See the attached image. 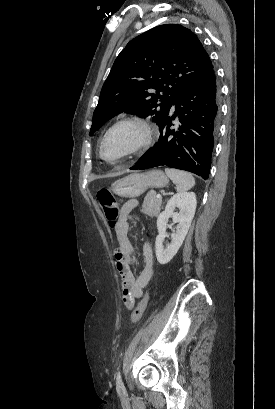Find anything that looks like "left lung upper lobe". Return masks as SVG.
<instances>
[{
  "instance_id": "left-lung-upper-lobe-1",
  "label": "left lung upper lobe",
  "mask_w": 275,
  "mask_h": 409,
  "mask_svg": "<svg viewBox=\"0 0 275 409\" xmlns=\"http://www.w3.org/2000/svg\"><path fill=\"white\" fill-rule=\"evenodd\" d=\"M213 69L197 36L178 24L157 26L120 52L102 87L90 135L121 112L160 125L181 92Z\"/></svg>"
}]
</instances>
